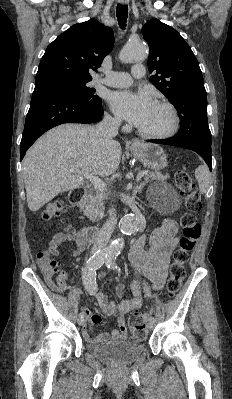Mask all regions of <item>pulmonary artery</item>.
Segmentation results:
<instances>
[{
  "mask_svg": "<svg viewBox=\"0 0 232 399\" xmlns=\"http://www.w3.org/2000/svg\"><path fill=\"white\" fill-rule=\"evenodd\" d=\"M134 68L135 69L131 71L132 75L130 73H125L124 69L104 70V79L95 78L93 84H103L104 90H117V88H119V90H128V88H130L128 84H137L138 80L142 79L145 65L144 63H135Z\"/></svg>",
  "mask_w": 232,
  "mask_h": 399,
  "instance_id": "e3ab8cb5",
  "label": "pulmonary artery"
}]
</instances>
